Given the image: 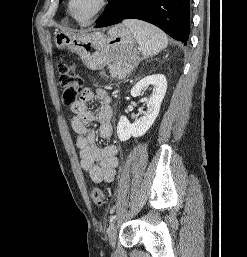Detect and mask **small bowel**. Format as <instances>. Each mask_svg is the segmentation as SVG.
I'll return each instance as SVG.
<instances>
[{"label":"small bowel","instance_id":"c3829d8e","mask_svg":"<svg viewBox=\"0 0 247 257\" xmlns=\"http://www.w3.org/2000/svg\"><path fill=\"white\" fill-rule=\"evenodd\" d=\"M96 101L101 105L95 111L88 108V102ZM71 126L77 134L76 147L79 149L82 171L94 183L112 182L118 166L117 147L108 144L96 145V137L109 140L113 135L111 97L102 89L90 87L82 89L79 99L71 104ZM99 124L95 131L90 125Z\"/></svg>","mask_w":247,"mask_h":257}]
</instances>
